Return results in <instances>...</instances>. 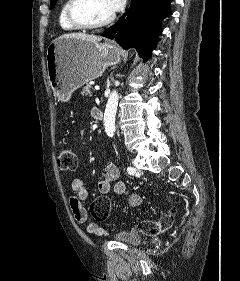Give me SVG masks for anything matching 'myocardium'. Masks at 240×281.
Segmentation results:
<instances>
[{"label":"myocardium","instance_id":"f54148a6","mask_svg":"<svg viewBox=\"0 0 240 281\" xmlns=\"http://www.w3.org/2000/svg\"><path fill=\"white\" fill-rule=\"evenodd\" d=\"M82 2L83 0H68L66 7L67 19L75 27L79 29H97L107 26L115 19V13H112L108 18L99 22H91L82 18L77 12V9Z\"/></svg>","mask_w":240,"mask_h":281}]
</instances>
